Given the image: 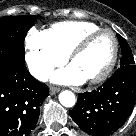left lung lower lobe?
Returning <instances> with one entry per match:
<instances>
[{
    "mask_svg": "<svg viewBox=\"0 0 136 136\" xmlns=\"http://www.w3.org/2000/svg\"><path fill=\"white\" fill-rule=\"evenodd\" d=\"M135 98L136 65L123 66L97 90L80 93L70 115L84 132L107 136L126 121Z\"/></svg>",
    "mask_w": 136,
    "mask_h": 136,
    "instance_id": "1",
    "label": "left lung lower lobe"
}]
</instances>
